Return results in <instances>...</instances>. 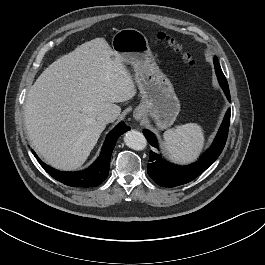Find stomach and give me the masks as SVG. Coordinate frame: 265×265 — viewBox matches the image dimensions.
I'll return each mask as SVG.
<instances>
[{"mask_svg":"<svg viewBox=\"0 0 265 265\" xmlns=\"http://www.w3.org/2000/svg\"><path fill=\"white\" fill-rule=\"evenodd\" d=\"M112 50L123 63L133 66L142 98L135 111L152 117L159 129L171 126L180 103L170 80L157 66L145 35L133 28L119 30L112 38Z\"/></svg>","mask_w":265,"mask_h":265,"instance_id":"obj_1","label":"stomach"}]
</instances>
